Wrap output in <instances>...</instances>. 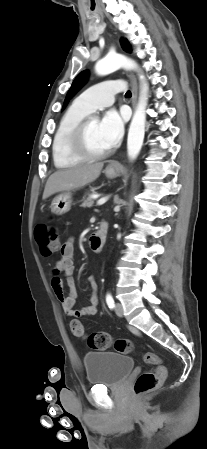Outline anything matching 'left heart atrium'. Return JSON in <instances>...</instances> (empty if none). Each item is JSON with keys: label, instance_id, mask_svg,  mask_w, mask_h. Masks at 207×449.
I'll use <instances>...</instances> for the list:
<instances>
[{"label": "left heart atrium", "instance_id": "left-heart-atrium-1", "mask_svg": "<svg viewBox=\"0 0 207 449\" xmlns=\"http://www.w3.org/2000/svg\"><path fill=\"white\" fill-rule=\"evenodd\" d=\"M126 116L116 110L108 111L99 123L100 132L110 147L116 145L124 131Z\"/></svg>", "mask_w": 207, "mask_h": 449}]
</instances>
